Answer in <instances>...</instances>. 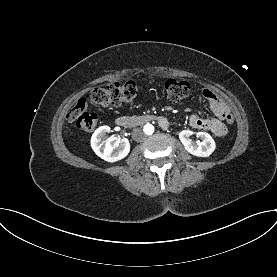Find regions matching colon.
<instances>
[{"label": "colon", "instance_id": "5ec220e1", "mask_svg": "<svg viewBox=\"0 0 277 277\" xmlns=\"http://www.w3.org/2000/svg\"><path fill=\"white\" fill-rule=\"evenodd\" d=\"M165 90L172 101L178 102L189 95L190 85L183 80L169 79L165 83ZM138 93L139 87L133 81L111 83L106 86L94 88L90 92V100L102 107H109L130 102ZM225 118V124L227 126H232L234 124L235 117L233 113H226ZM68 119L75 122L78 128L85 131L94 129L98 123L97 114L90 111L89 103L85 98L75 103L68 113Z\"/></svg>", "mask_w": 277, "mask_h": 277}]
</instances>
